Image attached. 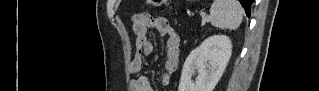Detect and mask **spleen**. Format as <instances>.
<instances>
[{"label": "spleen", "mask_w": 319, "mask_h": 91, "mask_svg": "<svg viewBox=\"0 0 319 91\" xmlns=\"http://www.w3.org/2000/svg\"><path fill=\"white\" fill-rule=\"evenodd\" d=\"M210 15L213 26L235 30L242 22L243 8L237 0H214Z\"/></svg>", "instance_id": "spleen-1"}]
</instances>
